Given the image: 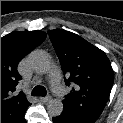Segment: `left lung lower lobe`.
<instances>
[{
  "label": "left lung lower lobe",
  "mask_w": 123,
  "mask_h": 123,
  "mask_svg": "<svg viewBox=\"0 0 123 123\" xmlns=\"http://www.w3.org/2000/svg\"><path fill=\"white\" fill-rule=\"evenodd\" d=\"M53 123H90V122L81 120L71 115L66 110H63L61 115L53 118Z\"/></svg>",
  "instance_id": "obj_1"
}]
</instances>
